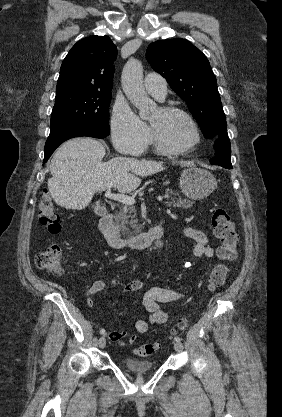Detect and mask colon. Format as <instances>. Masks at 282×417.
Returning a JSON list of instances; mask_svg holds the SVG:
<instances>
[{
	"label": "colon",
	"instance_id": "obj_1",
	"mask_svg": "<svg viewBox=\"0 0 282 417\" xmlns=\"http://www.w3.org/2000/svg\"><path fill=\"white\" fill-rule=\"evenodd\" d=\"M40 223L50 235H57L62 229L60 217L56 211L55 204L52 200L48 189H44L38 203ZM211 227L215 232L218 240L221 242L219 254L228 261H233L237 253V245L239 242L238 235L234 229V225L223 208H216L211 213ZM35 264L39 269H42L54 276H61L64 271V256L61 249L54 244H51L47 249L39 252L35 258ZM228 269L224 265H215L209 275L207 281V288L210 291L216 290L223 285ZM182 326L185 321H181ZM172 339L179 337L177 330L170 332ZM153 347H141V356H152Z\"/></svg>",
	"mask_w": 282,
	"mask_h": 417
}]
</instances>
